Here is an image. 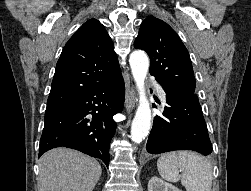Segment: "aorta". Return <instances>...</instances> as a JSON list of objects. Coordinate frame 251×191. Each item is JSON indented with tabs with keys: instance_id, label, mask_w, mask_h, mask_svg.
I'll list each match as a JSON object with an SVG mask.
<instances>
[{
	"instance_id": "obj_1",
	"label": "aorta",
	"mask_w": 251,
	"mask_h": 191,
	"mask_svg": "<svg viewBox=\"0 0 251 191\" xmlns=\"http://www.w3.org/2000/svg\"><path fill=\"white\" fill-rule=\"evenodd\" d=\"M129 64L139 94V105L131 125V139L141 143L149 133L151 123L150 103L145 92V78L149 68L147 54L142 50H135L130 54Z\"/></svg>"
}]
</instances>
